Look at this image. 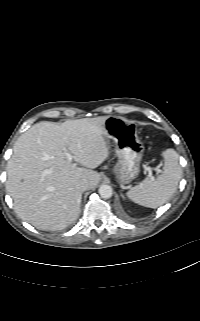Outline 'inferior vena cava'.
I'll return each instance as SVG.
<instances>
[{
  "label": "inferior vena cava",
  "mask_w": 200,
  "mask_h": 321,
  "mask_svg": "<svg viewBox=\"0 0 200 321\" xmlns=\"http://www.w3.org/2000/svg\"><path fill=\"white\" fill-rule=\"evenodd\" d=\"M76 187L79 191L84 192L89 188V184L87 180H80L77 184Z\"/></svg>",
  "instance_id": "1"
}]
</instances>
